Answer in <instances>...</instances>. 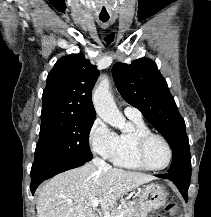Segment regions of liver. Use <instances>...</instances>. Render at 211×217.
Masks as SVG:
<instances>
[{"mask_svg":"<svg viewBox=\"0 0 211 217\" xmlns=\"http://www.w3.org/2000/svg\"><path fill=\"white\" fill-rule=\"evenodd\" d=\"M155 179L109 165L98 169L86 164L53 177L39 189L37 217H98L91 206L93 199L98 198L108 212L122 195Z\"/></svg>","mask_w":211,"mask_h":217,"instance_id":"liver-1","label":"liver"}]
</instances>
